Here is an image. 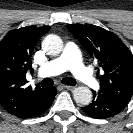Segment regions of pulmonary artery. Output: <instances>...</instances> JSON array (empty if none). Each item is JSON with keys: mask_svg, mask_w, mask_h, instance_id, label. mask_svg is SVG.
I'll list each match as a JSON object with an SVG mask.
<instances>
[{"mask_svg": "<svg viewBox=\"0 0 133 133\" xmlns=\"http://www.w3.org/2000/svg\"><path fill=\"white\" fill-rule=\"evenodd\" d=\"M70 70L80 81L91 88L99 84L90 70L83 64L78 47L73 42H67L62 53L43 64L39 70L40 77L54 76Z\"/></svg>", "mask_w": 133, "mask_h": 133, "instance_id": "pulmonary-artery-1", "label": "pulmonary artery"}]
</instances>
